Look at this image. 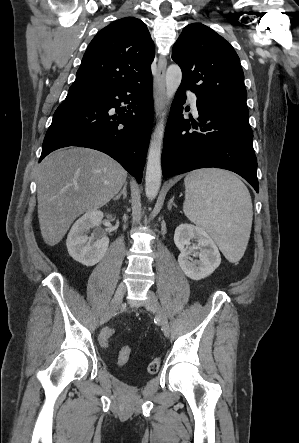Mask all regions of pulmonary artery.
I'll return each instance as SVG.
<instances>
[{"label":"pulmonary artery","instance_id":"e3ab8cb5","mask_svg":"<svg viewBox=\"0 0 299 443\" xmlns=\"http://www.w3.org/2000/svg\"><path fill=\"white\" fill-rule=\"evenodd\" d=\"M187 95H188V98H189V101H190V104H191V108H192L194 114L197 115L198 114L197 97H196V95L194 93H192L190 91L187 92Z\"/></svg>","mask_w":299,"mask_h":443}]
</instances>
